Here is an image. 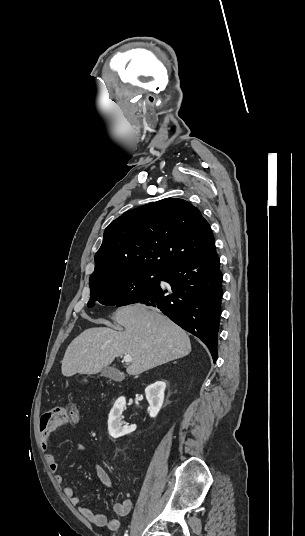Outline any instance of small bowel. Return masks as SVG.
I'll return each mask as SVG.
<instances>
[{
    "mask_svg": "<svg viewBox=\"0 0 305 536\" xmlns=\"http://www.w3.org/2000/svg\"><path fill=\"white\" fill-rule=\"evenodd\" d=\"M65 411L63 408L58 407L55 411H45L43 413V418L39 419L37 422L38 430L37 433L40 436V446L42 451L45 454V459L47 461L48 467L52 473H54V479L56 483L62 484L64 477L61 473L58 472V462L54 454L50 450L51 434L49 432L50 426L56 427L68 422V419L64 417ZM77 449L80 453L85 454L86 449L82 444L77 446ZM95 472L101 481V483L107 488L111 489L113 486L112 480L108 473L99 465L94 466ZM64 495L70 501V503L77 507L79 512L91 523L98 527H107L109 530H117L120 526V522L116 518H107L104 514L95 511L91 507H86L81 505V499L74 493V490L71 486L64 487ZM132 508V502L130 499H124L121 502H118L114 505V512L118 516H126L129 514Z\"/></svg>",
    "mask_w": 305,
    "mask_h": 536,
    "instance_id": "obj_1",
    "label": "small bowel"
}]
</instances>
